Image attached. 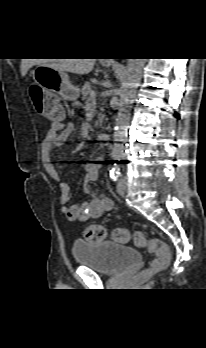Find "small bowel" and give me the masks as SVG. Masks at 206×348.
Listing matches in <instances>:
<instances>
[{"label":"small bowel","instance_id":"1","mask_svg":"<svg viewBox=\"0 0 206 348\" xmlns=\"http://www.w3.org/2000/svg\"><path fill=\"white\" fill-rule=\"evenodd\" d=\"M74 126L71 122L53 123L44 137L41 144V161L45 171L49 176L59 181L60 176L54 168L50 155L54 148L64 144L71 136ZM86 176L83 181V191L90 193V184L99 179V166L97 164H85ZM70 187L66 183L60 184V203L64 216L72 221H87L102 216L104 213L112 209V201L103 195H93L91 198L82 204L75 206H67L70 199Z\"/></svg>","mask_w":206,"mask_h":348}]
</instances>
